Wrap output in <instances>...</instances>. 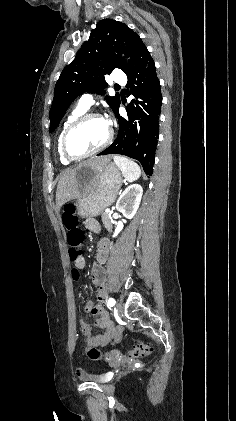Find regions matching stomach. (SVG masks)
<instances>
[{
    "label": "stomach",
    "instance_id": "1",
    "mask_svg": "<svg viewBox=\"0 0 236 421\" xmlns=\"http://www.w3.org/2000/svg\"><path fill=\"white\" fill-rule=\"evenodd\" d=\"M78 196L77 215L81 219L98 217L104 208L111 206L122 186L123 178L114 162L106 166L82 164L76 172Z\"/></svg>",
    "mask_w": 236,
    "mask_h": 421
}]
</instances>
